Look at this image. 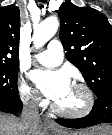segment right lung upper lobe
I'll return each instance as SVG.
<instances>
[{
	"instance_id": "obj_1",
	"label": "right lung upper lobe",
	"mask_w": 112,
	"mask_h": 135,
	"mask_svg": "<svg viewBox=\"0 0 112 135\" xmlns=\"http://www.w3.org/2000/svg\"><path fill=\"white\" fill-rule=\"evenodd\" d=\"M20 11L15 5L0 7V62H19Z\"/></svg>"
}]
</instances>
